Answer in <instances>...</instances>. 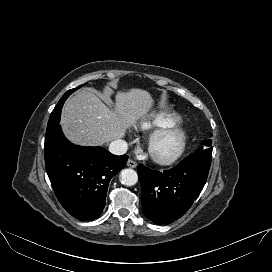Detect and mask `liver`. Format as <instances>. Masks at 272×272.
Here are the masks:
<instances>
[{"label":"liver","instance_id":"liver-1","mask_svg":"<svg viewBox=\"0 0 272 272\" xmlns=\"http://www.w3.org/2000/svg\"><path fill=\"white\" fill-rule=\"evenodd\" d=\"M152 105L149 92L131 89L117 92L110 109L94 93L83 89L64 104L60 124L74 144L99 146L124 137L128 128L146 117Z\"/></svg>","mask_w":272,"mask_h":272}]
</instances>
